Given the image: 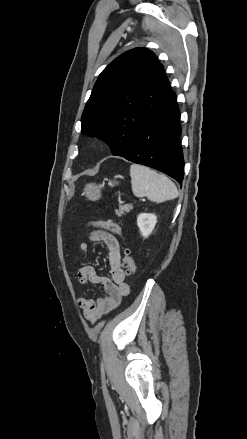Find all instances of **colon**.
Here are the masks:
<instances>
[{"label": "colon", "mask_w": 247, "mask_h": 439, "mask_svg": "<svg viewBox=\"0 0 247 439\" xmlns=\"http://www.w3.org/2000/svg\"><path fill=\"white\" fill-rule=\"evenodd\" d=\"M89 224L107 229L109 231L116 233L119 236H122L121 227L114 222L98 220V221H90ZM123 267H124L125 275L127 277H131L134 274L136 265L132 257L131 250L129 248L124 249Z\"/></svg>", "instance_id": "colon-1"}]
</instances>
